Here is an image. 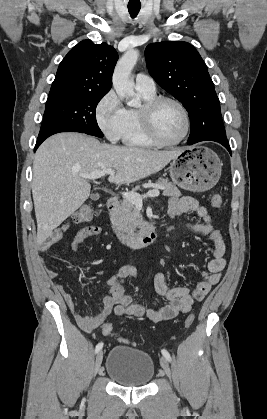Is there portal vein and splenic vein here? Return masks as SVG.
<instances>
[{
	"instance_id": "18ae733b",
	"label": "portal vein and splenic vein",
	"mask_w": 267,
	"mask_h": 419,
	"mask_svg": "<svg viewBox=\"0 0 267 419\" xmlns=\"http://www.w3.org/2000/svg\"><path fill=\"white\" fill-rule=\"evenodd\" d=\"M109 174L110 176H113L115 174V171L113 169H104V170H100V171H95L89 174H80L81 177L85 178V179H97L100 178L102 176H105ZM160 194V191L158 188L150 190L149 192H147L144 195H140L138 193H134V192H123L122 196L129 200L130 202H132L135 205H142V200L144 198L147 197H158Z\"/></svg>"
}]
</instances>
